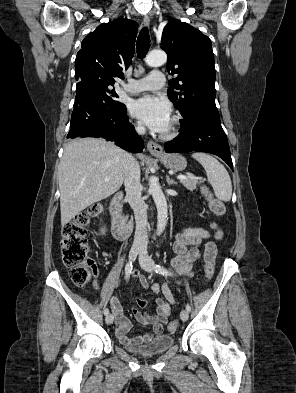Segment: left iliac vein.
<instances>
[{
    "label": "left iliac vein",
    "instance_id": "1",
    "mask_svg": "<svg viewBox=\"0 0 296 393\" xmlns=\"http://www.w3.org/2000/svg\"><path fill=\"white\" fill-rule=\"evenodd\" d=\"M139 263L142 269H144L147 272H152L153 271V260L146 254L144 250L140 252L139 255ZM189 317L188 311L187 310H182L180 313V318L183 322L187 321Z\"/></svg>",
    "mask_w": 296,
    "mask_h": 393
}]
</instances>
